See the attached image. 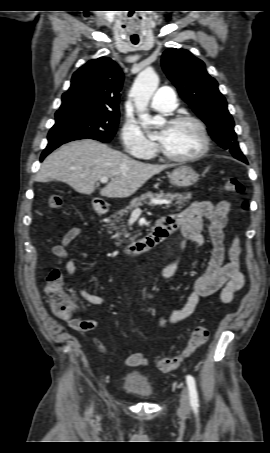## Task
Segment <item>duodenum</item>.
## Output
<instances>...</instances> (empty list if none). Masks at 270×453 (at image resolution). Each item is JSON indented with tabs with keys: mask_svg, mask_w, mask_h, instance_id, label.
<instances>
[{
	"mask_svg": "<svg viewBox=\"0 0 270 453\" xmlns=\"http://www.w3.org/2000/svg\"><path fill=\"white\" fill-rule=\"evenodd\" d=\"M97 214L108 213V208L96 207ZM175 231L174 227L168 225L165 221H159L155 228L143 239L130 244L126 250L132 255H140L156 247L158 244L167 240Z\"/></svg>",
	"mask_w": 270,
	"mask_h": 453,
	"instance_id": "410a0bca",
	"label": "duodenum"
}]
</instances>
